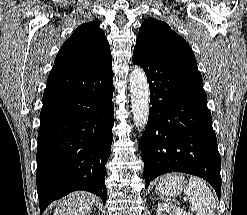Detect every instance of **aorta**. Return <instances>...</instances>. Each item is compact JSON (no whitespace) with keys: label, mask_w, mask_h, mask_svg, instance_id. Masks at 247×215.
Returning <instances> with one entry per match:
<instances>
[{"label":"aorta","mask_w":247,"mask_h":215,"mask_svg":"<svg viewBox=\"0 0 247 215\" xmlns=\"http://www.w3.org/2000/svg\"><path fill=\"white\" fill-rule=\"evenodd\" d=\"M131 108L134 124L143 131L149 118L150 91L142 68L135 66L130 74Z\"/></svg>","instance_id":"762f6f07"}]
</instances>
